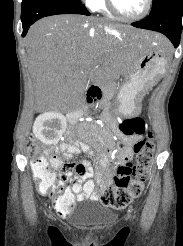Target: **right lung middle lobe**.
Segmentation results:
<instances>
[{"label":"right lung middle lobe","instance_id":"1","mask_svg":"<svg viewBox=\"0 0 183 246\" xmlns=\"http://www.w3.org/2000/svg\"><path fill=\"white\" fill-rule=\"evenodd\" d=\"M63 1H67V0H23L22 1V9H27V8H31V7H35V6H39V5H53L55 3L58 2H63Z\"/></svg>","mask_w":183,"mask_h":246}]
</instances>
